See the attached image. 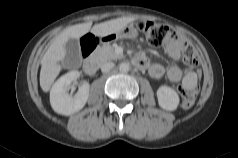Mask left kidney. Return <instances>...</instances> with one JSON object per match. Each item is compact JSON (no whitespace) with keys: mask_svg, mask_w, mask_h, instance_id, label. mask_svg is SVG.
<instances>
[{"mask_svg":"<svg viewBox=\"0 0 238 158\" xmlns=\"http://www.w3.org/2000/svg\"><path fill=\"white\" fill-rule=\"evenodd\" d=\"M157 98L159 106L167 111L176 110L180 102L177 92L168 86L158 88Z\"/></svg>","mask_w":238,"mask_h":158,"instance_id":"1","label":"left kidney"}]
</instances>
